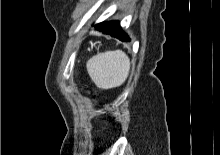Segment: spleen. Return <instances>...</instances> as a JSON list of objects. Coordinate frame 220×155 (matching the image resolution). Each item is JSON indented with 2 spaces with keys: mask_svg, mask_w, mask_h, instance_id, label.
I'll return each instance as SVG.
<instances>
[{
  "mask_svg": "<svg viewBox=\"0 0 220 155\" xmlns=\"http://www.w3.org/2000/svg\"><path fill=\"white\" fill-rule=\"evenodd\" d=\"M86 66L96 86L107 90L119 87L126 81L130 60L122 50L106 51L90 58Z\"/></svg>",
  "mask_w": 220,
  "mask_h": 155,
  "instance_id": "spleen-1",
  "label": "spleen"
}]
</instances>
